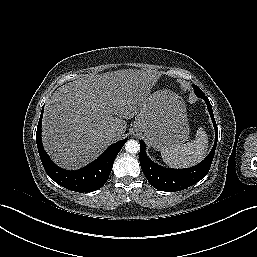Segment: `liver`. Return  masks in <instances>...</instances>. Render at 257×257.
Listing matches in <instances>:
<instances>
[{
  "mask_svg": "<svg viewBox=\"0 0 257 257\" xmlns=\"http://www.w3.org/2000/svg\"><path fill=\"white\" fill-rule=\"evenodd\" d=\"M152 71L123 69L79 78L59 87L47 101L42 141L52 160L77 169L120 139L147 101L157 80ZM115 130L116 137H106Z\"/></svg>",
  "mask_w": 257,
  "mask_h": 257,
  "instance_id": "liver-1",
  "label": "liver"
}]
</instances>
